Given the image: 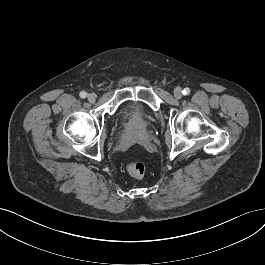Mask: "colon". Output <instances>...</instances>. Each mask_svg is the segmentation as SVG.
<instances>
[{
  "label": "colon",
  "mask_w": 265,
  "mask_h": 265,
  "mask_svg": "<svg viewBox=\"0 0 265 265\" xmlns=\"http://www.w3.org/2000/svg\"><path fill=\"white\" fill-rule=\"evenodd\" d=\"M127 171L132 177L141 179L145 175L146 168L141 161H131L127 164Z\"/></svg>",
  "instance_id": "obj_1"
}]
</instances>
